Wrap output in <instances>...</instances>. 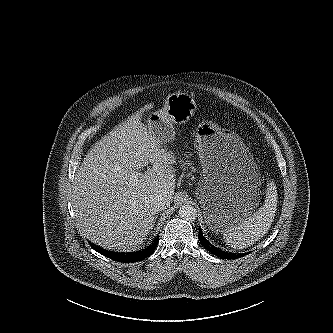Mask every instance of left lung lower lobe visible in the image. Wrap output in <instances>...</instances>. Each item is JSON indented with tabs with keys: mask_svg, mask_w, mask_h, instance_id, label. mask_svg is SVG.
<instances>
[{
	"mask_svg": "<svg viewBox=\"0 0 333 333\" xmlns=\"http://www.w3.org/2000/svg\"><path fill=\"white\" fill-rule=\"evenodd\" d=\"M199 240L200 243L212 254H215L218 257L225 258V259H237L245 256L244 253H232L223 251L214 245H212L202 234L201 229H199Z\"/></svg>",
	"mask_w": 333,
	"mask_h": 333,
	"instance_id": "left-lung-lower-lobe-1",
	"label": "left lung lower lobe"
}]
</instances>
